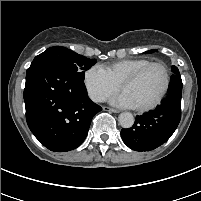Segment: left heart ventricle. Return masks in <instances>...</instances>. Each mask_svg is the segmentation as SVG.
<instances>
[{"instance_id":"b2bd125f","label":"left heart ventricle","mask_w":201,"mask_h":201,"mask_svg":"<svg viewBox=\"0 0 201 201\" xmlns=\"http://www.w3.org/2000/svg\"><path fill=\"white\" fill-rule=\"evenodd\" d=\"M164 73L159 66L145 70L134 82L126 85L123 92L130 98L134 106H142L152 102L164 85Z\"/></svg>"}]
</instances>
